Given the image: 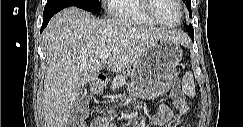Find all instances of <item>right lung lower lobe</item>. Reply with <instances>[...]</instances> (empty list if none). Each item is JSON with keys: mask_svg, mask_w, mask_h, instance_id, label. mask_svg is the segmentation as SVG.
Here are the masks:
<instances>
[{"mask_svg": "<svg viewBox=\"0 0 243 127\" xmlns=\"http://www.w3.org/2000/svg\"><path fill=\"white\" fill-rule=\"evenodd\" d=\"M60 10H62V9H55V10L46 11V12L43 13L44 16H43V24H42V27H41V32L47 26V24L50 21V19L52 18V16L54 14H56L57 12H59Z\"/></svg>", "mask_w": 243, "mask_h": 127, "instance_id": "right-lung-lower-lobe-1", "label": "right lung lower lobe"}]
</instances>
